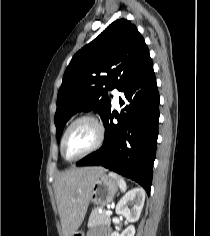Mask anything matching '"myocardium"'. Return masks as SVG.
I'll list each match as a JSON object with an SVG mask.
<instances>
[{"instance_id": "1", "label": "myocardium", "mask_w": 210, "mask_h": 236, "mask_svg": "<svg viewBox=\"0 0 210 236\" xmlns=\"http://www.w3.org/2000/svg\"><path fill=\"white\" fill-rule=\"evenodd\" d=\"M80 121H90V122H92L96 127L97 137H96V140H95V142L93 143V145L91 147H89L87 150H85L83 153L79 154L78 156H76L74 158H71V159H68L64 155L65 138H66L67 134L69 133L70 129L76 123H78ZM105 134H106L105 127H104L103 123L101 122V120L97 116L92 115V114H84V115L78 116L70 122V124L66 127V129H65V131H64V133L61 137V140H60V153H61V156L63 157L64 160H66L68 162H74V161L80 160L81 158L89 155L90 153L96 151L98 148L101 147V145L103 144V142L105 140Z\"/></svg>"}]
</instances>
